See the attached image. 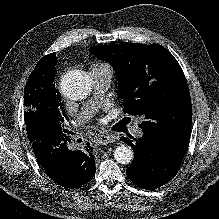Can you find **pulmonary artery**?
<instances>
[{
	"label": "pulmonary artery",
	"mask_w": 219,
	"mask_h": 219,
	"mask_svg": "<svg viewBox=\"0 0 219 219\" xmlns=\"http://www.w3.org/2000/svg\"><path fill=\"white\" fill-rule=\"evenodd\" d=\"M89 76L93 83V89L95 92L94 98L89 101L83 108L80 115H78L77 119L78 122H81L83 119H85V113L88 110H91L94 108L99 96L107 89L109 86L111 79H112V70L108 67L103 68H92L89 70ZM132 132L134 136L141 137L143 132L139 126V122H136L132 126Z\"/></svg>",
	"instance_id": "obj_1"
}]
</instances>
